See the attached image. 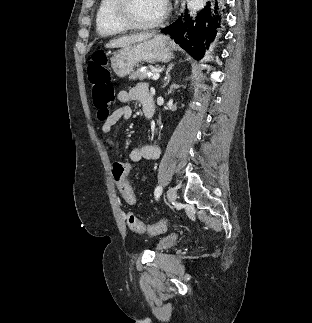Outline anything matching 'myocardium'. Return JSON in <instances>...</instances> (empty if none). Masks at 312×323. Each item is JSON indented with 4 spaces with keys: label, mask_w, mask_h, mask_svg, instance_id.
<instances>
[{
    "label": "myocardium",
    "mask_w": 312,
    "mask_h": 323,
    "mask_svg": "<svg viewBox=\"0 0 312 323\" xmlns=\"http://www.w3.org/2000/svg\"><path fill=\"white\" fill-rule=\"evenodd\" d=\"M129 0H114L113 6L110 13L117 20L118 25H126L127 31H147V27H153V25H161V18H150V20H137L133 16L132 12H128ZM164 13H171L172 4L164 3L163 4ZM163 19H166V16H163Z\"/></svg>",
    "instance_id": "myocardium-1"
}]
</instances>
